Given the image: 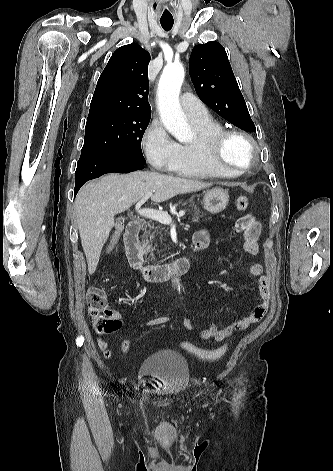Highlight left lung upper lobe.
I'll list each match as a JSON object with an SVG mask.
<instances>
[{
    "mask_svg": "<svg viewBox=\"0 0 333 471\" xmlns=\"http://www.w3.org/2000/svg\"><path fill=\"white\" fill-rule=\"evenodd\" d=\"M190 76L205 104L242 130L256 132L226 51L220 43L208 42L193 48Z\"/></svg>",
    "mask_w": 333,
    "mask_h": 471,
    "instance_id": "obj_1",
    "label": "left lung upper lobe"
}]
</instances>
